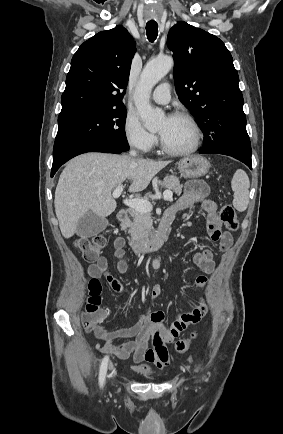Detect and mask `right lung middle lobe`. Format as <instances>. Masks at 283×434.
Listing matches in <instances>:
<instances>
[{
	"label": "right lung middle lobe",
	"mask_w": 283,
	"mask_h": 434,
	"mask_svg": "<svg viewBox=\"0 0 283 434\" xmlns=\"http://www.w3.org/2000/svg\"><path fill=\"white\" fill-rule=\"evenodd\" d=\"M125 121V107L59 116L53 160L79 146L94 143H105L127 151Z\"/></svg>",
	"instance_id": "right-lung-middle-lobe-1"
}]
</instances>
